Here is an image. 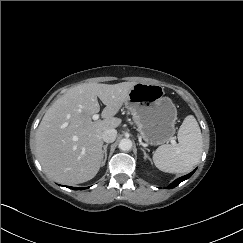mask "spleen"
Instances as JSON below:
<instances>
[{"instance_id":"1","label":"spleen","mask_w":243,"mask_h":243,"mask_svg":"<svg viewBox=\"0 0 243 243\" xmlns=\"http://www.w3.org/2000/svg\"><path fill=\"white\" fill-rule=\"evenodd\" d=\"M177 145L159 146L153 153L155 166L168 173H188L202 155V135L194 116L188 115L178 130Z\"/></svg>"}]
</instances>
